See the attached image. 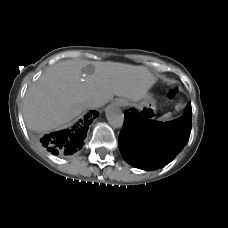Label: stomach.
Returning <instances> with one entry per match:
<instances>
[{
    "label": "stomach",
    "mask_w": 228,
    "mask_h": 228,
    "mask_svg": "<svg viewBox=\"0 0 228 228\" xmlns=\"http://www.w3.org/2000/svg\"><path fill=\"white\" fill-rule=\"evenodd\" d=\"M127 102L124 100L122 101V104H126ZM139 109L141 112H143L145 115L148 117H152L153 114L155 113V101L152 98L151 95H147L143 101L139 105Z\"/></svg>",
    "instance_id": "0dacf381"
}]
</instances>
